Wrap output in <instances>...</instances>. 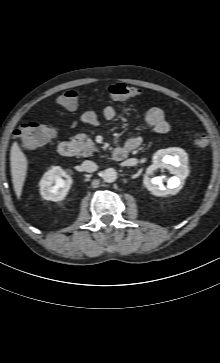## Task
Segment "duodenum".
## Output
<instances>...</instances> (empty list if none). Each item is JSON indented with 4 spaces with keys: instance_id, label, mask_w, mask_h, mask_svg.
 <instances>
[{
    "instance_id": "410a0bca",
    "label": "duodenum",
    "mask_w": 220,
    "mask_h": 363,
    "mask_svg": "<svg viewBox=\"0 0 220 363\" xmlns=\"http://www.w3.org/2000/svg\"><path fill=\"white\" fill-rule=\"evenodd\" d=\"M58 154L63 157H69L74 154L75 146L70 141H62L58 144L57 147ZM128 149L117 147L112 152V157L114 161H122L128 155Z\"/></svg>"
}]
</instances>
